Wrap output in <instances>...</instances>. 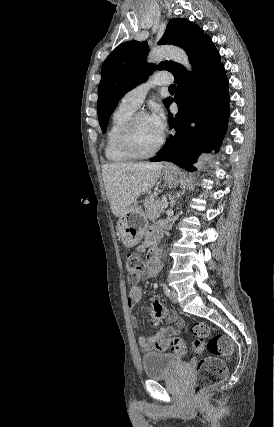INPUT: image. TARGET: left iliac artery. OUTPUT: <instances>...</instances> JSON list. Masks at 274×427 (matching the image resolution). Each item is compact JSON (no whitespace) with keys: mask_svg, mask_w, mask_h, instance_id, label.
Masks as SVG:
<instances>
[{"mask_svg":"<svg viewBox=\"0 0 274 427\" xmlns=\"http://www.w3.org/2000/svg\"><path fill=\"white\" fill-rule=\"evenodd\" d=\"M163 291H164L166 296H168V297L170 296V294H171L170 289H169L168 285L165 283H163Z\"/></svg>","mask_w":274,"mask_h":427,"instance_id":"1","label":"left iliac artery"}]
</instances>
